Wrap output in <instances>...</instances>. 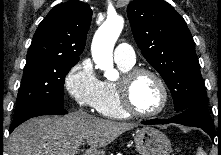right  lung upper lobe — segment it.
Segmentation results:
<instances>
[{"mask_svg": "<svg viewBox=\"0 0 221 155\" xmlns=\"http://www.w3.org/2000/svg\"><path fill=\"white\" fill-rule=\"evenodd\" d=\"M92 10L71 0L55 6L39 24L26 59L47 58L78 62L85 47Z\"/></svg>", "mask_w": 221, "mask_h": 155, "instance_id": "cb5924a9", "label": "right lung upper lobe"}]
</instances>
